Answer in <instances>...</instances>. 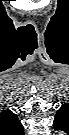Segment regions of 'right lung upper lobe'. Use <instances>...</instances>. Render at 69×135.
Returning a JSON list of instances; mask_svg holds the SVG:
<instances>
[{
	"label": "right lung upper lobe",
	"mask_w": 69,
	"mask_h": 135,
	"mask_svg": "<svg viewBox=\"0 0 69 135\" xmlns=\"http://www.w3.org/2000/svg\"><path fill=\"white\" fill-rule=\"evenodd\" d=\"M5 117L8 119V126L6 127V134L8 135H23L24 130L21 122L17 116L10 110L5 111Z\"/></svg>",
	"instance_id": "1"
}]
</instances>
